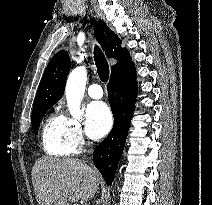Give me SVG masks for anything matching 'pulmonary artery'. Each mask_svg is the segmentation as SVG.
<instances>
[{
  "label": "pulmonary artery",
  "mask_w": 212,
  "mask_h": 205,
  "mask_svg": "<svg viewBox=\"0 0 212 205\" xmlns=\"http://www.w3.org/2000/svg\"><path fill=\"white\" fill-rule=\"evenodd\" d=\"M88 94L91 98L99 99L103 96V90L98 83H92L88 87Z\"/></svg>",
  "instance_id": "e3ab8cb5"
}]
</instances>
